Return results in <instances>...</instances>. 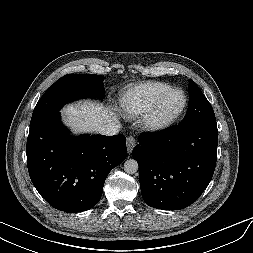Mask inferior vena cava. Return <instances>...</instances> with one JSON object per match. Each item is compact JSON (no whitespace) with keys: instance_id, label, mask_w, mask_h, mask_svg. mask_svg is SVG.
<instances>
[{"instance_id":"obj_1","label":"inferior vena cava","mask_w":253,"mask_h":253,"mask_svg":"<svg viewBox=\"0 0 253 253\" xmlns=\"http://www.w3.org/2000/svg\"><path fill=\"white\" fill-rule=\"evenodd\" d=\"M119 130H120V124L114 121L104 124L97 128V131L100 134L107 135V136L115 135L119 132Z\"/></svg>"}]
</instances>
